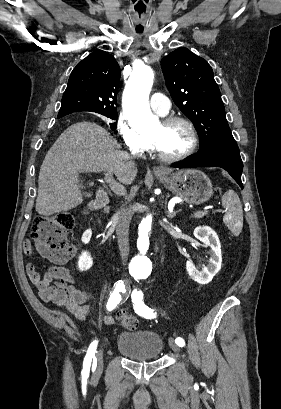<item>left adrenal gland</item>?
<instances>
[{
    "label": "left adrenal gland",
    "mask_w": 281,
    "mask_h": 409,
    "mask_svg": "<svg viewBox=\"0 0 281 409\" xmlns=\"http://www.w3.org/2000/svg\"><path fill=\"white\" fill-rule=\"evenodd\" d=\"M176 213H179V211H174V213H168L167 215L168 219H173V217H176Z\"/></svg>",
    "instance_id": "obj_1"
}]
</instances>
